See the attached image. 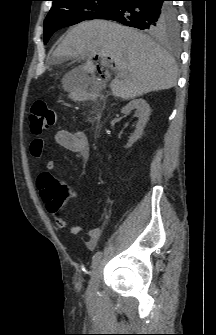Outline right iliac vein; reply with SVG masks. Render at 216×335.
<instances>
[{"instance_id":"1","label":"right iliac vein","mask_w":216,"mask_h":335,"mask_svg":"<svg viewBox=\"0 0 216 335\" xmlns=\"http://www.w3.org/2000/svg\"><path fill=\"white\" fill-rule=\"evenodd\" d=\"M100 269H101V261L99 260L98 263L94 266L92 271L91 280L87 289L88 297H91L95 293L98 287Z\"/></svg>"}]
</instances>
